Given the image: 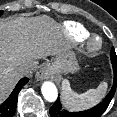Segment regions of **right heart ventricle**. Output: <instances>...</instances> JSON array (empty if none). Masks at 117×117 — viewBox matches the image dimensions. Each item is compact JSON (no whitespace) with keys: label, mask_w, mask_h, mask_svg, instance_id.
Wrapping results in <instances>:
<instances>
[{"label":"right heart ventricle","mask_w":117,"mask_h":117,"mask_svg":"<svg viewBox=\"0 0 117 117\" xmlns=\"http://www.w3.org/2000/svg\"><path fill=\"white\" fill-rule=\"evenodd\" d=\"M65 30L68 37L76 43L86 40L90 35V32L82 24L76 22L66 23Z\"/></svg>","instance_id":"e07e8e85"}]
</instances>
